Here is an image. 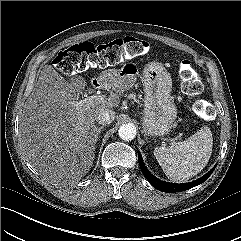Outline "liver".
I'll list each match as a JSON object with an SVG mask.
<instances>
[{"label": "liver", "mask_w": 241, "mask_h": 241, "mask_svg": "<svg viewBox=\"0 0 241 241\" xmlns=\"http://www.w3.org/2000/svg\"><path fill=\"white\" fill-rule=\"evenodd\" d=\"M118 90L115 82L106 84ZM77 84L45 65L24 105L19 131L24 154L48 182L66 185L79 181L95 158V113L112 109L117 96L104 103L82 102ZM84 100V99H83Z\"/></svg>", "instance_id": "1"}]
</instances>
